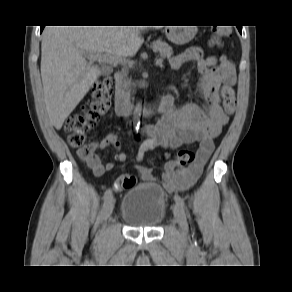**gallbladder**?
Instances as JSON below:
<instances>
[{"mask_svg":"<svg viewBox=\"0 0 292 292\" xmlns=\"http://www.w3.org/2000/svg\"><path fill=\"white\" fill-rule=\"evenodd\" d=\"M101 73H102L103 75L107 74V71H106L105 67H101Z\"/></svg>","mask_w":292,"mask_h":292,"instance_id":"1","label":"gallbladder"}]
</instances>
